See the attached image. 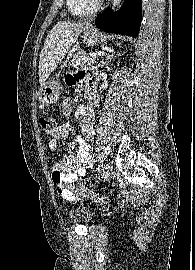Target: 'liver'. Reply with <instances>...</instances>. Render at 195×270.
<instances>
[{"label":"liver","mask_w":195,"mask_h":270,"mask_svg":"<svg viewBox=\"0 0 195 270\" xmlns=\"http://www.w3.org/2000/svg\"><path fill=\"white\" fill-rule=\"evenodd\" d=\"M89 23L59 21L48 33L39 60V83L42 87L61 63L71 46Z\"/></svg>","instance_id":"1"}]
</instances>
